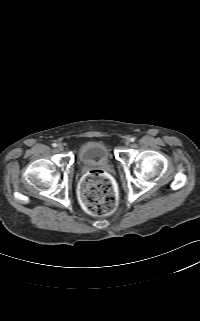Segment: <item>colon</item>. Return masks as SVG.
Returning a JSON list of instances; mask_svg holds the SVG:
<instances>
[{"label":"colon","instance_id":"1","mask_svg":"<svg viewBox=\"0 0 200 321\" xmlns=\"http://www.w3.org/2000/svg\"><path fill=\"white\" fill-rule=\"evenodd\" d=\"M79 195L86 211L93 215L110 214L117 206V197L112 182L101 170L90 171L82 178Z\"/></svg>","mask_w":200,"mask_h":321}]
</instances>
